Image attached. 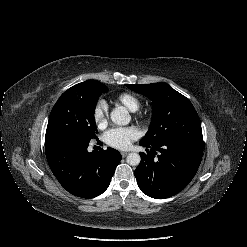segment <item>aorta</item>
Wrapping results in <instances>:
<instances>
[{
    "instance_id": "obj_1",
    "label": "aorta",
    "mask_w": 247,
    "mask_h": 247,
    "mask_svg": "<svg viewBox=\"0 0 247 247\" xmlns=\"http://www.w3.org/2000/svg\"><path fill=\"white\" fill-rule=\"evenodd\" d=\"M110 118L112 122L116 125H127L129 124L131 117L124 107H119L115 108L111 113H110ZM126 161L129 165L131 166H137L139 165L141 158L138 153H130L128 154Z\"/></svg>"
}]
</instances>
